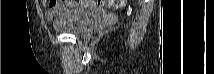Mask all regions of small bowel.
I'll return each instance as SVG.
<instances>
[{
	"label": "small bowel",
	"mask_w": 214,
	"mask_h": 74,
	"mask_svg": "<svg viewBox=\"0 0 214 74\" xmlns=\"http://www.w3.org/2000/svg\"><path fill=\"white\" fill-rule=\"evenodd\" d=\"M85 3L87 5L92 4V2H90V1H86ZM44 4H46V6H48V9L46 10L45 15L49 19L58 16L66 8L73 7V5H64L63 3H60V2L50 3L49 5L46 2H44Z\"/></svg>",
	"instance_id": "c3829d8e"
}]
</instances>
